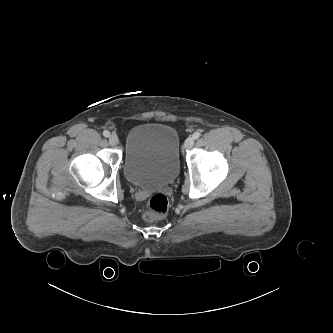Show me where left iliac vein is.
Listing matches in <instances>:
<instances>
[{
  "label": "left iliac vein",
  "mask_w": 333,
  "mask_h": 333,
  "mask_svg": "<svg viewBox=\"0 0 333 333\" xmlns=\"http://www.w3.org/2000/svg\"><path fill=\"white\" fill-rule=\"evenodd\" d=\"M194 145V138L193 137H188L184 143V148L185 149H190Z\"/></svg>",
  "instance_id": "left-iliac-vein-1"
}]
</instances>
